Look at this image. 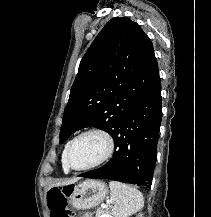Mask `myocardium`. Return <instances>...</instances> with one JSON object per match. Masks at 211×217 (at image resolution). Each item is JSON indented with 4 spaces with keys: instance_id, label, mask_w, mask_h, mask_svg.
Here are the masks:
<instances>
[{
    "instance_id": "1",
    "label": "myocardium",
    "mask_w": 211,
    "mask_h": 217,
    "mask_svg": "<svg viewBox=\"0 0 211 217\" xmlns=\"http://www.w3.org/2000/svg\"><path fill=\"white\" fill-rule=\"evenodd\" d=\"M90 133L99 134L106 140L107 151L104 154V156L100 160H98L97 162H95L91 165L84 166V167H75L72 165L71 160H70L71 149H72L73 145L75 144V142L79 138H81L84 135L90 134ZM114 150H115V142H114L112 135L108 131H106L102 128H97V127L89 128V129L82 131L78 135H76L70 141L68 148H67V151H66V163H67L69 169L74 170V171H85V170L94 169V168L99 167V166L105 164L106 162H108L110 160V158L113 156Z\"/></svg>"
}]
</instances>
